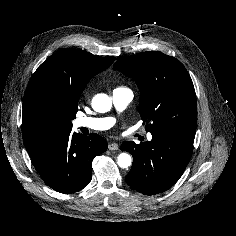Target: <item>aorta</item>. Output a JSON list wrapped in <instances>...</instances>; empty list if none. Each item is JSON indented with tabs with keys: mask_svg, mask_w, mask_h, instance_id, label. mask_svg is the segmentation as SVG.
Instances as JSON below:
<instances>
[{
	"mask_svg": "<svg viewBox=\"0 0 236 236\" xmlns=\"http://www.w3.org/2000/svg\"><path fill=\"white\" fill-rule=\"evenodd\" d=\"M92 107L96 112L105 113L108 112L112 107V101L106 94H98L92 101ZM117 163L121 168H128L132 159L127 153H121L117 158Z\"/></svg>",
	"mask_w": 236,
	"mask_h": 236,
	"instance_id": "aorta-1",
	"label": "aorta"
}]
</instances>
